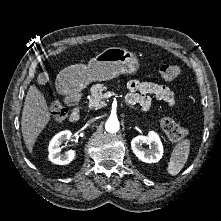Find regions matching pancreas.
<instances>
[{"mask_svg":"<svg viewBox=\"0 0 221 221\" xmlns=\"http://www.w3.org/2000/svg\"><path fill=\"white\" fill-rule=\"evenodd\" d=\"M107 91V87L103 84H95L91 87V95L88 101L89 108L100 109L106 106L104 101V93Z\"/></svg>","mask_w":221,"mask_h":221,"instance_id":"1","label":"pancreas"}]
</instances>
